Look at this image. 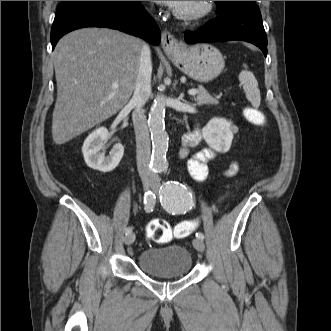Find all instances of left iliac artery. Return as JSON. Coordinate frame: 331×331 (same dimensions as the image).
Wrapping results in <instances>:
<instances>
[{
    "label": "left iliac artery",
    "instance_id": "1",
    "mask_svg": "<svg viewBox=\"0 0 331 331\" xmlns=\"http://www.w3.org/2000/svg\"><path fill=\"white\" fill-rule=\"evenodd\" d=\"M162 171V169L157 170L159 173ZM160 202L172 215L185 214L193 206L192 195L186 186L175 181H168L161 187ZM196 238L203 240L204 235L198 232Z\"/></svg>",
    "mask_w": 331,
    "mask_h": 331
}]
</instances>
